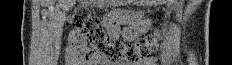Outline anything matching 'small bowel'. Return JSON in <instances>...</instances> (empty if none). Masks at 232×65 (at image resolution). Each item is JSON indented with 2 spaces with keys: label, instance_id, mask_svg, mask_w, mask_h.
<instances>
[{
  "label": "small bowel",
  "instance_id": "obj_1",
  "mask_svg": "<svg viewBox=\"0 0 232 65\" xmlns=\"http://www.w3.org/2000/svg\"><path fill=\"white\" fill-rule=\"evenodd\" d=\"M146 13L144 12H106L104 17V25L107 28L109 37H124L123 43L132 44L134 37H144L149 31L148 21H146ZM117 21H134L129 26L125 23H117ZM123 28V29H120ZM126 31V32H123ZM80 35L78 31H72L70 34V45L68 47L67 58L69 61H75V41ZM156 57H148L139 60L134 65H156ZM126 65V64H122Z\"/></svg>",
  "mask_w": 232,
  "mask_h": 65
}]
</instances>
